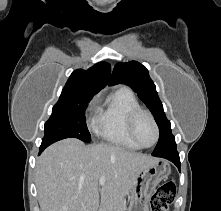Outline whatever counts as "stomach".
Instances as JSON below:
<instances>
[{
	"label": "stomach",
	"instance_id": "obj_1",
	"mask_svg": "<svg viewBox=\"0 0 221 211\" xmlns=\"http://www.w3.org/2000/svg\"><path fill=\"white\" fill-rule=\"evenodd\" d=\"M171 173L170 165L164 160L142 168L130 192L128 211H148V201L156 186Z\"/></svg>",
	"mask_w": 221,
	"mask_h": 211
}]
</instances>
